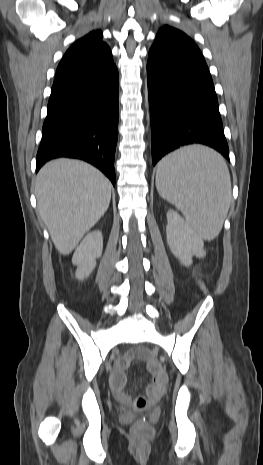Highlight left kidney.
Returning a JSON list of instances; mask_svg holds the SVG:
<instances>
[{"label":"left kidney","instance_id":"obj_1","mask_svg":"<svg viewBox=\"0 0 263 465\" xmlns=\"http://www.w3.org/2000/svg\"><path fill=\"white\" fill-rule=\"evenodd\" d=\"M166 236L171 252L181 264L189 266L192 264L193 256L199 258L205 256L203 240L174 210L167 212Z\"/></svg>","mask_w":263,"mask_h":465}]
</instances>
